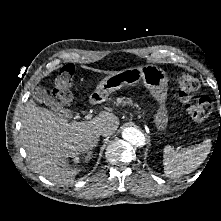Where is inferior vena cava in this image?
Segmentation results:
<instances>
[{"label":"inferior vena cava","instance_id":"obj_1","mask_svg":"<svg viewBox=\"0 0 221 221\" xmlns=\"http://www.w3.org/2000/svg\"><path fill=\"white\" fill-rule=\"evenodd\" d=\"M100 135L105 136L106 135V130L100 129L95 133V138H98Z\"/></svg>","mask_w":221,"mask_h":221}]
</instances>
